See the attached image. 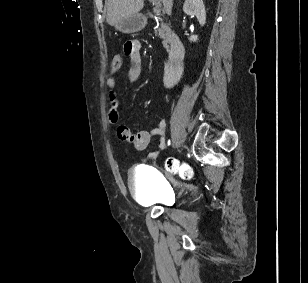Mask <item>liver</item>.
<instances>
[{
    "label": "liver",
    "instance_id": "1",
    "mask_svg": "<svg viewBox=\"0 0 308 283\" xmlns=\"http://www.w3.org/2000/svg\"><path fill=\"white\" fill-rule=\"evenodd\" d=\"M167 13L171 12L173 0H161ZM144 6V0H107L106 21L115 26L124 17L137 14Z\"/></svg>",
    "mask_w": 308,
    "mask_h": 283
}]
</instances>
